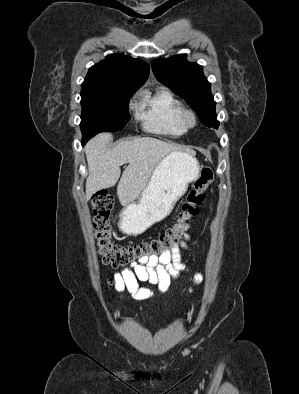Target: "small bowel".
Listing matches in <instances>:
<instances>
[{
  "label": "small bowel",
  "mask_w": 299,
  "mask_h": 394,
  "mask_svg": "<svg viewBox=\"0 0 299 394\" xmlns=\"http://www.w3.org/2000/svg\"><path fill=\"white\" fill-rule=\"evenodd\" d=\"M190 227L187 225L186 231ZM189 239L190 236L186 232L183 240L170 253H165L161 257L143 259L116 273L113 280L115 290L120 294V297H123L124 292L129 293L137 301L152 297L153 291L147 287H140L139 282H148L158 286L161 292H166L171 281L177 278L181 272L187 270L181 260V250L193 251L187 243ZM202 279V275L197 274L194 277V282L200 283Z\"/></svg>",
  "instance_id": "c3829d8e"
}]
</instances>
